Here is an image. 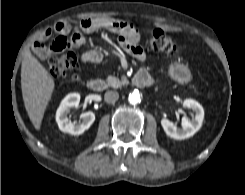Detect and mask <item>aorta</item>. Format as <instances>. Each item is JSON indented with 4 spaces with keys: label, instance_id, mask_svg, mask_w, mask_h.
I'll use <instances>...</instances> for the list:
<instances>
[{
    "label": "aorta",
    "instance_id": "762f6f07",
    "mask_svg": "<svg viewBox=\"0 0 245 195\" xmlns=\"http://www.w3.org/2000/svg\"><path fill=\"white\" fill-rule=\"evenodd\" d=\"M129 101L131 104H138L141 101L140 93L138 91H133L129 94Z\"/></svg>",
    "mask_w": 245,
    "mask_h": 195
}]
</instances>
